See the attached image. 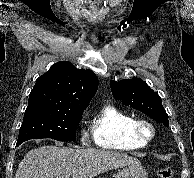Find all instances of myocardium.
Listing matches in <instances>:
<instances>
[{
    "label": "myocardium",
    "instance_id": "1",
    "mask_svg": "<svg viewBox=\"0 0 194 178\" xmlns=\"http://www.w3.org/2000/svg\"><path fill=\"white\" fill-rule=\"evenodd\" d=\"M131 134L142 143H149L156 135L154 125L146 119H136L131 126Z\"/></svg>",
    "mask_w": 194,
    "mask_h": 178
}]
</instances>
